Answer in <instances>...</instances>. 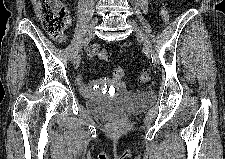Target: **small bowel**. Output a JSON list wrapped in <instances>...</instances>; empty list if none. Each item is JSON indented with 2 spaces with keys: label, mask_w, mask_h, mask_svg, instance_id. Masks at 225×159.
I'll list each match as a JSON object with an SVG mask.
<instances>
[{
  "label": "small bowel",
  "mask_w": 225,
  "mask_h": 159,
  "mask_svg": "<svg viewBox=\"0 0 225 159\" xmlns=\"http://www.w3.org/2000/svg\"><path fill=\"white\" fill-rule=\"evenodd\" d=\"M55 39H56V41L61 42V41H63L64 37H62V38H56V37H55ZM98 49H99V46H97V45L91 47V48L88 50V55H89L90 57L95 56V55H96V51H97ZM104 82H105V80H99V81H97L95 84H93V86L89 87V86L86 85V79H85V77H83V76H78V77L76 78V84H77L79 90L81 91V93H82L83 95H85V96H92V95L95 93L96 89H97L100 85H102Z\"/></svg>",
  "instance_id": "1"
}]
</instances>
